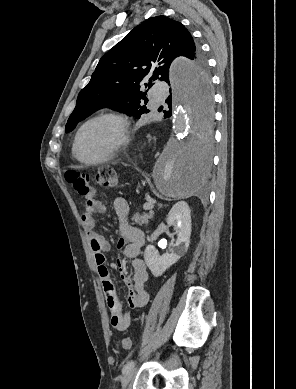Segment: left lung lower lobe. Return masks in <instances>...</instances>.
Here are the masks:
<instances>
[{
    "label": "left lung lower lobe",
    "mask_w": 296,
    "mask_h": 389,
    "mask_svg": "<svg viewBox=\"0 0 296 389\" xmlns=\"http://www.w3.org/2000/svg\"><path fill=\"white\" fill-rule=\"evenodd\" d=\"M168 85H171L170 82ZM171 91V88H170ZM175 94H177L176 88L174 86ZM194 95L203 101L205 109L210 112V95L209 88L202 89L199 84L193 85ZM168 103L169 110L164 111V117L169 118L172 115V93L166 100ZM210 139L206 137V133L201 134V139L196 140L190 146V149L184 156L178 161V171L177 174L180 177L189 178L197 180L202 178L209 166L210 163Z\"/></svg>",
    "instance_id": "1"
}]
</instances>
